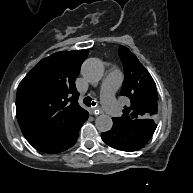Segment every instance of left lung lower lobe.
Wrapping results in <instances>:
<instances>
[{"mask_svg":"<svg viewBox=\"0 0 193 193\" xmlns=\"http://www.w3.org/2000/svg\"><path fill=\"white\" fill-rule=\"evenodd\" d=\"M156 129L154 122L119 123L113 120V128L101 134L102 140L109 146L122 151L141 149L152 137Z\"/></svg>","mask_w":193,"mask_h":193,"instance_id":"left-lung-lower-lobe-1","label":"left lung lower lobe"}]
</instances>
